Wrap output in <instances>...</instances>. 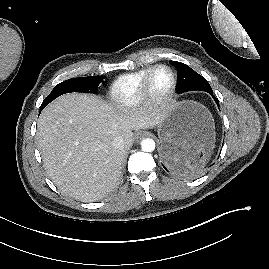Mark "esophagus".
Masks as SVG:
<instances>
[{"label":"esophagus","instance_id":"esophagus-1","mask_svg":"<svg viewBox=\"0 0 269 269\" xmlns=\"http://www.w3.org/2000/svg\"><path fill=\"white\" fill-rule=\"evenodd\" d=\"M145 136H146V133L140 131V132L136 133L135 139L138 141V140H141L142 138H144Z\"/></svg>","mask_w":269,"mask_h":269}]
</instances>
